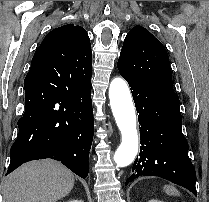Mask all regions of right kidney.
<instances>
[{
  "label": "right kidney",
  "instance_id": "right-kidney-1",
  "mask_svg": "<svg viewBox=\"0 0 209 202\" xmlns=\"http://www.w3.org/2000/svg\"><path fill=\"white\" fill-rule=\"evenodd\" d=\"M68 202H83L82 200H71V201H68Z\"/></svg>",
  "mask_w": 209,
  "mask_h": 202
}]
</instances>
